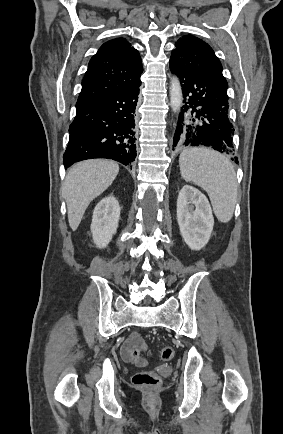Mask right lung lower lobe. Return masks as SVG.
<instances>
[{"label": "right lung lower lobe", "mask_w": 283, "mask_h": 434, "mask_svg": "<svg viewBox=\"0 0 283 434\" xmlns=\"http://www.w3.org/2000/svg\"><path fill=\"white\" fill-rule=\"evenodd\" d=\"M141 80L129 89L76 106L64 166L92 158L130 165L136 157L134 113Z\"/></svg>", "instance_id": "obj_1"}]
</instances>
